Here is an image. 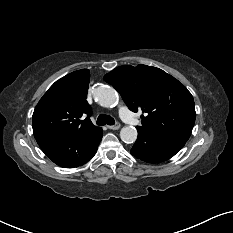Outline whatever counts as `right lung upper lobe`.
Segmentation results:
<instances>
[{"instance_id": "cb5924a9", "label": "right lung upper lobe", "mask_w": 233, "mask_h": 233, "mask_svg": "<svg viewBox=\"0 0 233 233\" xmlns=\"http://www.w3.org/2000/svg\"><path fill=\"white\" fill-rule=\"evenodd\" d=\"M89 82L90 72L83 69L64 76L48 89L33 113L36 140L76 139L99 128L89 119L91 108L86 101Z\"/></svg>"}]
</instances>
